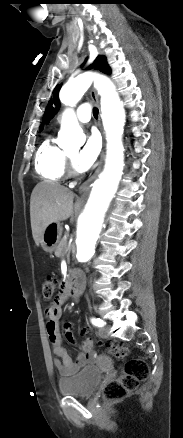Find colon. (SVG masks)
<instances>
[{
    "label": "colon",
    "instance_id": "5ec220e1",
    "mask_svg": "<svg viewBox=\"0 0 183 438\" xmlns=\"http://www.w3.org/2000/svg\"><path fill=\"white\" fill-rule=\"evenodd\" d=\"M56 285V281L52 278L42 280V295L45 300H50L53 297ZM100 346L119 361H124L129 355V349L124 344L101 342ZM148 374L149 367L145 360L141 358L128 360L121 374L106 384L103 391L104 397L108 400H116L127 396L148 377Z\"/></svg>",
    "mask_w": 183,
    "mask_h": 438
}]
</instances>
